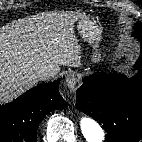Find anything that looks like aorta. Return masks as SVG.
Segmentation results:
<instances>
[{
	"label": "aorta",
	"mask_w": 142,
	"mask_h": 142,
	"mask_svg": "<svg viewBox=\"0 0 142 142\" xmlns=\"http://www.w3.org/2000/svg\"><path fill=\"white\" fill-rule=\"evenodd\" d=\"M81 131L87 142H102L104 140V130L101 126L89 118L81 121Z\"/></svg>",
	"instance_id": "762f6f07"
}]
</instances>
